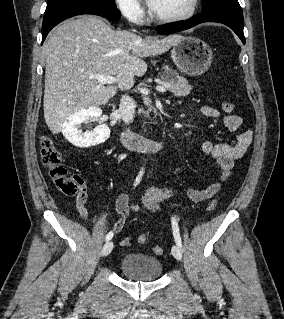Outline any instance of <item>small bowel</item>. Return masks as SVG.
Wrapping results in <instances>:
<instances>
[{"label": "small bowel", "mask_w": 284, "mask_h": 319, "mask_svg": "<svg viewBox=\"0 0 284 319\" xmlns=\"http://www.w3.org/2000/svg\"><path fill=\"white\" fill-rule=\"evenodd\" d=\"M201 112L206 117L213 119L220 116V112L211 106L201 107ZM223 122L225 127L231 132L239 130L242 125V119L238 115L225 116L223 118ZM251 141L252 131L243 130L238 133L236 140L233 143H213L211 141L203 142L201 145V150L203 153L210 155L214 159L219 181L210 183L204 189H198L196 187L189 188V197L194 202H202L215 196L219 192L222 182H224L230 176L234 167V162L244 155L249 148ZM180 172L181 171L179 168L174 170V174L176 175ZM212 179L213 176L209 178V180ZM172 194V186H167L160 189L148 187L143 193L142 200L144 205L149 210L158 212L160 210V202L166 198H169ZM86 201L87 192L85 186L82 185L76 197V208L82 219H86L88 217ZM138 210L139 207L129 201V197L125 192L120 193L116 200V211L120 215V218L117 220L112 230L115 233L120 232L123 229L130 213L137 212Z\"/></svg>", "instance_id": "obj_1"}]
</instances>
